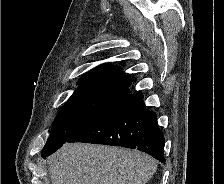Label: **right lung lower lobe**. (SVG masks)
Masks as SVG:
<instances>
[{"label": "right lung lower lobe", "instance_id": "obj_1", "mask_svg": "<svg viewBox=\"0 0 224 184\" xmlns=\"http://www.w3.org/2000/svg\"><path fill=\"white\" fill-rule=\"evenodd\" d=\"M67 142H87L138 149L165 162V139L157 126L156 113L148 110L142 94H128L99 120ZM63 144L42 151L46 158Z\"/></svg>", "mask_w": 224, "mask_h": 184}]
</instances>
